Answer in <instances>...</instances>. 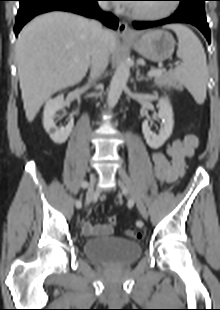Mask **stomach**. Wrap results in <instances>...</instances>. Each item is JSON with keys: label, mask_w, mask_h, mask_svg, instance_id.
<instances>
[{"label": "stomach", "mask_w": 220, "mask_h": 310, "mask_svg": "<svg viewBox=\"0 0 220 310\" xmlns=\"http://www.w3.org/2000/svg\"><path fill=\"white\" fill-rule=\"evenodd\" d=\"M131 42L135 50L144 58L161 62L172 56L175 49L173 36L164 30H151L143 33L139 37L123 38Z\"/></svg>", "instance_id": "stomach-1"}]
</instances>
